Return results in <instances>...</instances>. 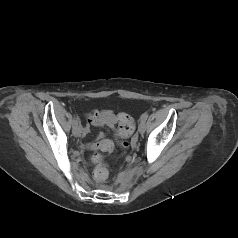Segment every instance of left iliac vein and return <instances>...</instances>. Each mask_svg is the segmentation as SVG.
I'll return each mask as SVG.
<instances>
[{"mask_svg": "<svg viewBox=\"0 0 238 238\" xmlns=\"http://www.w3.org/2000/svg\"><path fill=\"white\" fill-rule=\"evenodd\" d=\"M138 131L140 134H143L145 132V122L140 121L139 126H138Z\"/></svg>", "mask_w": 238, "mask_h": 238, "instance_id": "1", "label": "left iliac vein"}]
</instances>
